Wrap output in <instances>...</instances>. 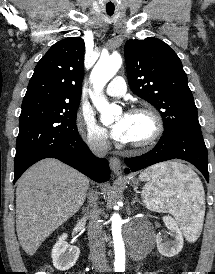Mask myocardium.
<instances>
[{
	"label": "myocardium",
	"instance_id": "f54148a6",
	"mask_svg": "<svg viewBox=\"0 0 215 274\" xmlns=\"http://www.w3.org/2000/svg\"><path fill=\"white\" fill-rule=\"evenodd\" d=\"M130 114H145L153 124V130L150 136L142 141L128 142V145L135 149H146L155 144L162 136L164 123L160 114L151 106H138L130 110Z\"/></svg>",
	"mask_w": 215,
	"mask_h": 274
}]
</instances>
